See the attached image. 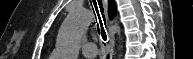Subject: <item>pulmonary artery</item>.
I'll return each mask as SVG.
<instances>
[{
    "label": "pulmonary artery",
    "mask_w": 193,
    "mask_h": 59,
    "mask_svg": "<svg viewBox=\"0 0 193 59\" xmlns=\"http://www.w3.org/2000/svg\"><path fill=\"white\" fill-rule=\"evenodd\" d=\"M97 46L95 43H86L82 49V52L85 57L92 58L97 55Z\"/></svg>",
    "instance_id": "e3ab8cb5"
}]
</instances>
